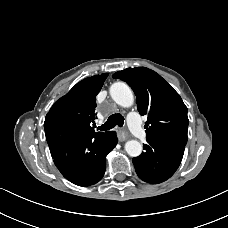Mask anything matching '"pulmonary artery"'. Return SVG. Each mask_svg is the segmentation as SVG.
Returning <instances> with one entry per match:
<instances>
[{
    "instance_id": "e3ab8cb5",
    "label": "pulmonary artery",
    "mask_w": 228,
    "mask_h": 228,
    "mask_svg": "<svg viewBox=\"0 0 228 228\" xmlns=\"http://www.w3.org/2000/svg\"><path fill=\"white\" fill-rule=\"evenodd\" d=\"M128 123H129L130 129L132 130V132L136 137L140 139H144L146 137V133L141 126L139 116L137 113L132 112L128 115Z\"/></svg>"
}]
</instances>
